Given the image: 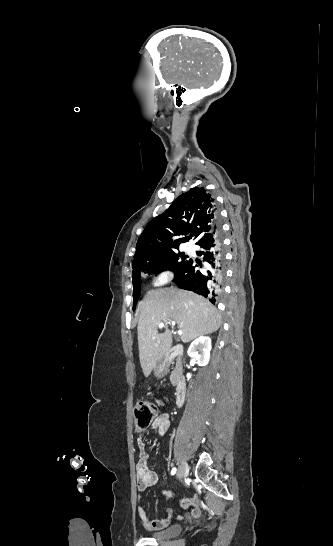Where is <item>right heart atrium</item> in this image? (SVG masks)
I'll return each mask as SVG.
<instances>
[{"label": "right heart atrium", "instance_id": "1", "mask_svg": "<svg viewBox=\"0 0 333 546\" xmlns=\"http://www.w3.org/2000/svg\"><path fill=\"white\" fill-rule=\"evenodd\" d=\"M173 273L169 269L160 270L153 278L152 285L155 287L163 286L171 281Z\"/></svg>", "mask_w": 333, "mask_h": 546}]
</instances>
